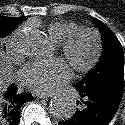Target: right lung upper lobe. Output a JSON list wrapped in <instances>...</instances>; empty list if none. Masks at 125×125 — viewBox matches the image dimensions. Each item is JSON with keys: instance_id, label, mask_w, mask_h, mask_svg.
<instances>
[{"instance_id": "right-lung-upper-lobe-1", "label": "right lung upper lobe", "mask_w": 125, "mask_h": 125, "mask_svg": "<svg viewBox=\"0 0 125 125\" xmlns=\"http://www.w3.org/2000/svg\"><path fill=\"white\" fill-rule=\"evenodd\" d=\"M20 18H25V19H26V17H25V16H23V17H20Z\"/></svg>"}]
</instances>
